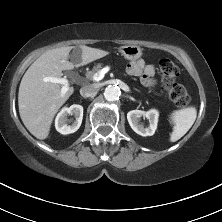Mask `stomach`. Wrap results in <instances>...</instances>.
Instances as JSON below:
<instances>
[{"instance_id": "0dacf381", "label": "stomach", "mask_w": 222, "mask_h": 222, "mask_svg": "<svg viewBox=\"0 0 222 222\" xmlns=\"http://www.w3.org/2000/svg\"><path fill=\"white\" fill-rule=\"evenodd\" d=\"M121 54L130 61L137 60L142 55V49L137 45H125L120 47Z\"/></svg>"}]
</instances>
